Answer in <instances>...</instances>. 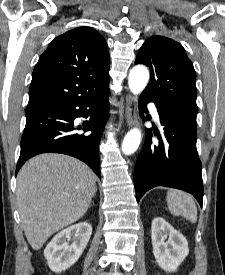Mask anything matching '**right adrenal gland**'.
Instances as JSON below:
<instances>
[{"instance_id":"1","label":"right adrenal gland","mask_w":225,"mask_h":275,"mask_svg":"<svg viewBox=\"0 0 225 275\" xmlns=\"http://www.w3.org/2000/svg\"><path fill=\"white\" fill-rule=\"evenodd\" d=\"M96 192H97V188H96V190H95V194H96Z\"/></svg>"}]
</instances>
